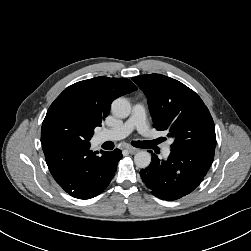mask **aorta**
Instances as JSON below:
<instances>
[{
	"label": "aorta",
	"instance_id": "762f6f07",
	"mask_svg": "<svg viewBox=\"0 0 251 251\" xmlns=\"http://www.w3.org/2000/svg\"><path fill=\"white\" fill-rule=\"evenodd\" d=\"M111 110L115 116L127 118L131 113V104L126 98L120 97L113 101ZM134 162L139 168H147L151 163V154L147 151H139L134 156Z\"/></svg>",
	"mask_w": 251,
	"mask_h": 251
}]
</instances>
